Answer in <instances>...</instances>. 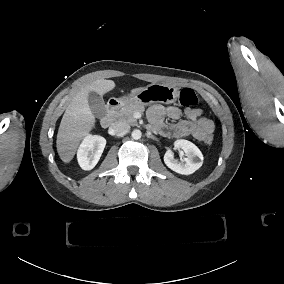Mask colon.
<instances>
[{
    "label": "colon",
    "mask_w": 284,
    "mask_h": 284,
    "mask_svg": "<svg viewBox=\"0 0 284 284\" xmlns=\"http://www.w3.org/2000/svg\"><path fill=\"white\" fill-rule=\"evenodd\" d=\"M181 99L187 102L186 104L189 105H194L196 103V98L191 95V91L189 89H184L182 91V96ZM213 142V137H207L206 138V143H212Z\"/></svg>",
    "instance_id": "5ec220e1"
}]
</instances>
